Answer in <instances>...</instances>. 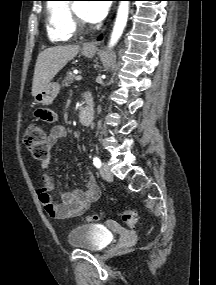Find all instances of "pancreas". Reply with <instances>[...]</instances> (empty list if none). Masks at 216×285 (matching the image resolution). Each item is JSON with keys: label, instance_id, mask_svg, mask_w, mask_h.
Returning a JSON list of instances; mask_svg holds the SVG:
<instances>
[{"label": "pancreas", "instance_id": "cf45deb5", "mask_svg": "<svg viewBox=\"0 0 216 285\" xmlns=\"http://www.w3.org/2000/svg\"><path fill=\"white\" fill-rule=\"evenodd\" d=\"M75 78H76V76L71 71H68L66 73L64 80H63V86H65V87L69 86L71 83L74 82Z\"/></svg>", "mask_w": 216, "mask_h": 285}]
</instances>
